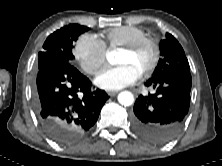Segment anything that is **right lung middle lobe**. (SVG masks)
<instances>
[{"label": "right lung middle lobe", "instance_id": "1", "mask_svg": "<svg viewBox=\"0 0 222 166\" xmlns=\"http://www.w3.org/2000/svg\"><path fill=\"white\" fill-rule=\"evenodd\" d=\"M88 30V27L70 24L49 35L38 54V69L52 64H72L73 43Z\"/></svg>", "mask_w": 222, "mask_h": 166}]
</instances>
